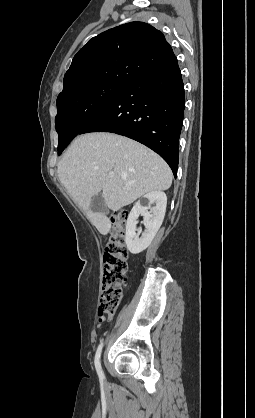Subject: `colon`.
Segmentation results:
<instances>
[{"label": "colon", "instance_id": "1", "mask_svg": "<svg viewBox=\"0 0 255 418\" xmlns=\"http://www.w3.org/2000/svg\"><path fill=\"white\" fill-rule=\"evenodd\" d=\"M128 212L119 211L114 219V228L105 246L103 254V272L101 299L98 308V319L102 322L117 310L127 281L128 250L125 244L124 226Z\"/></svg>", "mask_w": 255, "mask_h": 418}]
</instances>
